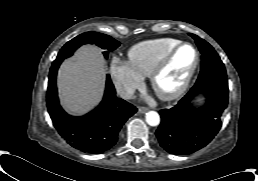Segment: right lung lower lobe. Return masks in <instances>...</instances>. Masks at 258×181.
Segmentation results:
<instances>
[{
  "mask_svg": "<svg viewBox=\"0 0 258 181\" xmlns=\"http://www.w3.org/2000/svg\"><path fill=\"white\" fill-rule=\"evenodd\" d=\"M62 61L56 59L52 63L47 89V108L56 129L75 149L97 154L108 151L117 142L123 124L137 109L117 98L108 75L105 94L99 106L83 117L68 115L59 104L56 88V74Z\"/></svg>",
  "mask_w": 258,
  "mask_h": 181,
  "instance_id": "obj_1",
  "label": "right lung lower lobe"
}]
</instances>
